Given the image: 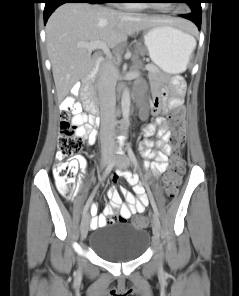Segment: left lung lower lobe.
<instances>
[{
    "label": "left lung lower lobe",
    "instance_id": "obj_1",
    "mask_svg": "<svg viewBox=\"0 0 239 296\" xmlns=\"http://www.w3.org/2000/svg\"><path fill=\"white\" fill-rule=\"evenodd\" d=\"M180 16L183 18H186L188 20H191L192 22H194L198 26L199 29L201 28V16L196 15L193 12H189L187 14L180 15Z\"/></svg>",
    "mask_w": 239,
    "mask_h": 296
}]
</instances>
